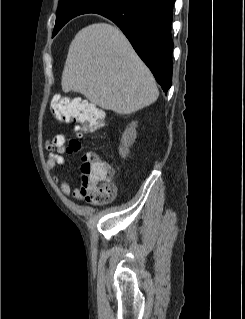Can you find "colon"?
I'll return each mask as SVG.
<instances>
[{"instance_id": "5ec220e1", "label": "colon", "mask_w": 245, "mask_h": 319, "mask_svg": "<svg viewBox=\"0 0 245 319\" xmlns=\"http://www.w3.org/2000/svg\"><path fill=\"white\" fill-rule=\"evenodd\" d=\"M52 112L63 122H72L77 136H83L104 126V113L94 105L77 99L56 96L53 98ZM69 148L78 152L81 144L71 140ZM111 168L97 155L87 153L81 157L80 192L90 203L102 205L115 196Z\"/></svg>"}]
</instances>
